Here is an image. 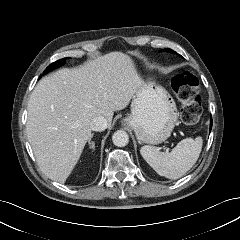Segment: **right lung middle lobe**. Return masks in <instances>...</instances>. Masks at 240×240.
<instances>
[{"label":"right lung middle lobe","instance_id":"1","mask_svg":"<svg viewBox=\"0 0 240 240\" xmlns=\"http://www.w3.org/2000/svg\"><path fill=\"white\" fill-rule=\"evenodd\" d=\"M66 59H67V58H63V59H60V60H58V61H56V62H53L52 64H50V65L46 68L45 73L50 72V71H52L53 69H56V68L61 67L62 65H64Z\"/></svg>","mask_w":240,"mask_h":240}]
</instances>
